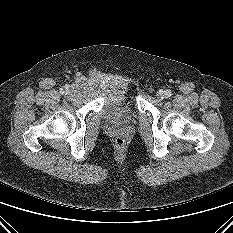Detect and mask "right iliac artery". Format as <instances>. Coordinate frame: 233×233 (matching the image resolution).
<instances>
[{
  "instance_id": "obj_1",
  "label": "right iliac artery",
  "mask_w": 233,
  "mask_h": 233,
  "mask_svg": "<svg viewBox=\"0 0 233 233\" xmlns=\"http://www.w3.org/2000/svg\"><path fill=\"white\" fill-rule=\"evenodd\" d=\"M69 88V86L68 85H66L65 86V89H68ZM60 93L63 95L64 93H65V90L62 88V89H60Z\"/></svg>"
}]
</instances>
